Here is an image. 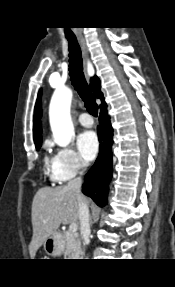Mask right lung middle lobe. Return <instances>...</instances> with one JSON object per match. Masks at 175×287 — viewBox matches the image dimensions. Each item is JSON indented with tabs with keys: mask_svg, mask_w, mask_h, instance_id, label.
Wrapping results in <instances>:
<instances>
[{
	"mask_svg": "<svg viewBox=\"0 0 175 287\" xmlns=\"http://www.w3.org/2000/svg\"><path fill=\"white\" fill-rule=\"evenodd\" d=\"M36 149L38 150L41 147V142L35 143Z\"/></svg>",
	"mask_w": 175,
	"mask_h": 287,
	"instance_id": "1",
	"label": "right lung middle lobe"
}]
</instances>
